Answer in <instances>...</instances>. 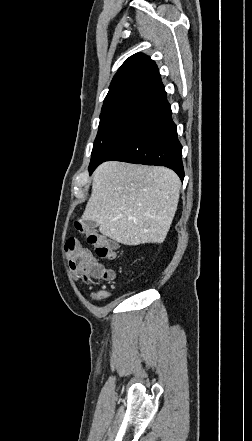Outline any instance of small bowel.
Masks as SVG:
<instances>
[{
	"label": "small bowel",
	"instance_id": "c3829d8e",
	"mask_svg": "<svg viewBox=\"0 0 252 441\" xmlns=\"http://www.w3.org/2000/svg\"><path fill=\"white\" fill-rule=\"evenodd\" d=\"M109 292L104 291V290H100V291H92L89 294V297L91 298V300L93 301H100L102 299H105L107 297H109Z\"/></svg>",
	"mask_w": 252,
	"mask_h": 441
}]
</instances>
